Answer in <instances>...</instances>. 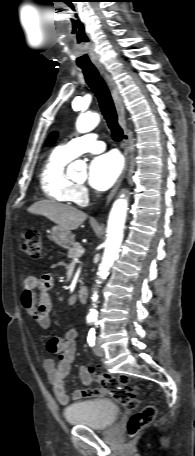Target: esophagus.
I'll use <instances>...</instances> for the list:
<instances>
[{"instance_id": "esophagus-1", "label": "esophagus", "mask_w": 195, "mask_h": 456, "mask_svg": "<svg viewBox=\"0 0 195 456\" xmlns=\"http://www.w3.org/2000/svg\"><path fill=\"white\" fill-rule=\"evenodd\" d=\"M98 68H99L100 72L102 73V75L104 76L108 86L111 89L114 105H115L116 112H117V115H118V121H119V124H120V126H121V128L123 130L122 148H123V155H124V160H125L123 171H122L121 175L119 176L118 180L116 181L113 189L110 191V193L108 194V196L106 198V202H105V207H106L110 203V201L113 199V197L115 196L117 190L119 189V187H120V185H121V183H122V181H123V179H124V177L126 175L127 169H128V163H129V157H128V154H129V150H128L129 133H128L126 119H125V110H124V106H123V103H122V98L120 96L118 88H117L114 80L110 76V74L102 66H98Z\"/></svg>"}]
</instances>
